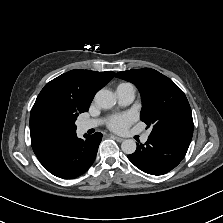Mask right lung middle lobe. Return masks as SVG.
<instances>
[{
	"instance_id": "dd1d6c3e",
	"label": "right lung middle lobe",
	"mask_w": 223,
	"mask_h": 223,
	"mask_svg": "<svg viewBox=\"0 0 223 223\" xmlns=\"http://www.w3.org/2000/svg\"><path fill=\"white\" fill-rule=\"evenodd\" d=\"M78 114L53 106L39 108L30 117V126L48 135L75 133Z\"/></svg>"
}]
</instances>
